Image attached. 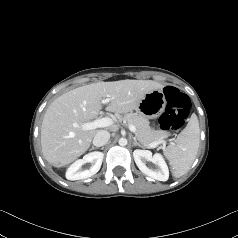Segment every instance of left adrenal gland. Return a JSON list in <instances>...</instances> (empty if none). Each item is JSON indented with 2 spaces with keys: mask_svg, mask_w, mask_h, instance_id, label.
I'll return each mask as SVG.
<instances>
[{
  "mask_svg": "<svg viewBox=\"0 0 238 238\" xmlns=\"http://www.w3.org/2000/svg\"><path fill=\"white\" fill-rule=\"evenodd\" d=\"M133 145H134V146H139V147H141V148H144L143 145H141L139 142L136 141V138H135V137H133Z\"/></svg>",
  "mask_w": 238,
  "mask_h": 238,
  "instance_id": "left-adrenal-gland-1",
  "label": "left adrenal gland"
}]
</instances>
